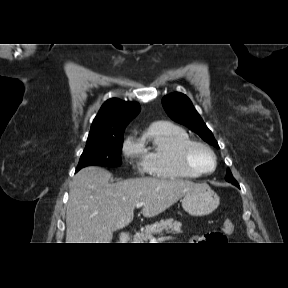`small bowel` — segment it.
<instances>
[{"mask_svg": "<svg viewBox=\"0 0 288 288\" xmlns=\"http://www.w3.org/2000/svg\"><path fill=\"white\" fill-rule=\"evenodd\" d=\"M214 233L208 234L206 236H198L193 239L195 243H209L212 242L214 239L211 237Z\"/></svg>", "mask_w": 288, "mask_h": 288, "instance_id": "1", "label": "small bowel"}]
</instances>
